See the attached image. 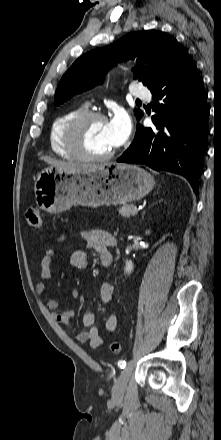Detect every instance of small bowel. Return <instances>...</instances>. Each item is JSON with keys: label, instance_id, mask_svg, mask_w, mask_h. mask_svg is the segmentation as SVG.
I'll list each match as a JSON object with an SVG mask.
<instances>
[{"label": "small bowel", "instance_id": "c3829d8e", "mask_svg": "<svg viewBox=\"0 0 221 440\" xmlns=\"http://www.w3.org/2000/svg\"><path fill=\"white\" fill-rule=\"evenodd\" d=\"M82 235L85 240V246L88 249H93L100 257L101 261L107 258L112 259V255L108 248L113 245L115 239L113 236L103 230L93 229L83 231ZM67 234H63L57 239V242H62L65 240ZM55 255V250L53 248H48L41 260V278L42 281L36 284V292L39 295L46 294V283L51 278V263ZM70 264L76 269H85L87 267V257L86 252L82 249L74 251L70 257ZM114 293V287L110 281L104 282L99 290V299L102 303L107 304L112 300ZM74 299L79 297V291L73 290L71 293ZM47 307L52 311L53 317L60 323L69 325L72 318L75 315L74 310H64L60 311L61 303L56 299H49L47 301ZM96 315L94 312H86L82 317V322L84 326L88 329L81 331L77 335V339L80 343H87L92 348H98L102 345L103 339L99 330L94 326ZM117 328V317L115 314H109L105 320L106 331L112 333Z\"/></svg>", "mask_w": 221, "mask_h": 440}]
</instances>
